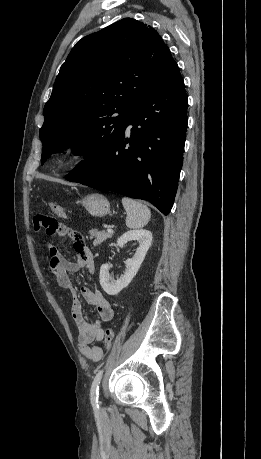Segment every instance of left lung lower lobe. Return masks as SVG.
Segmentation results:
<instances>
[{"label":"left lung lower lobe","instance_id":"obj_1","mask_svg":"<svg viewBox=\"0 0 261 459\" xmlns=\"http://www.w3.org/2000/svg\"><path fill=\"white\" fill-rule=\"evenodd\" d=\"M188 98L175 63L133 109L120 137L94 170H72L66 179L147 200L168 215L183 163ZM131 125V134L125 136Z\"/></svg>","mask_w":261,"mask_h":459}]
</instances>
